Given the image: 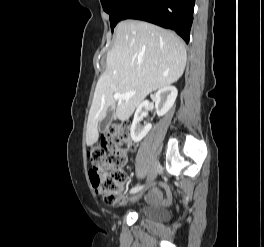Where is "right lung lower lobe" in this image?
<instances>
[{
  "label": "right lung lower lobe",
  "mask_w": 264,
  "mask_h": 247,
  "mask_svg": "<svg viewBox=\"0 0 264 247\" xmlns=\"http://www.w3.org/2000/svg\"><path fill=\"white\" fill-rule=\"evenodd\" d=\"M195 0H133L122 20L137 19L174 30L189 42Z\"/></svg>",
  "instance_id": "obj_1"
}]
</instances>
